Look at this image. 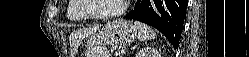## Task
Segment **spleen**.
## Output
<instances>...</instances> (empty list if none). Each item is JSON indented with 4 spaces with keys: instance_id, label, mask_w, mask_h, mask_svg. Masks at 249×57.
Segmentation results:
<instances>
[{
    "instance_id": "obj_1",
    "label": "spleen",
    "mask_w": 249,
    "mask_h": 57,
    "mask_svg": "<svg viewBox=\"0 0 249 57\" xmlns=\"http://www.w3.org/2000/svg\"><path fill=\"white\" fill-rule=\"evenodd\" d=\"M134 25L136 29L138 30V40L139 41H146L156 38V33L147 25L144 23H141L139 21H135Z\"/></svg>"
}]
</instances>
